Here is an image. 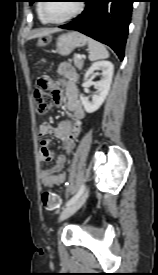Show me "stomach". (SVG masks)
<instances>
[{"instance_id":"stomach-1","label":"stomach","mask_w":158,"mask_h":275,"mask_svg":"<svg viewBox=\"0 0 158 275\" xmlns=\"http://www.w3.org/2000/svg\"><path fill=\"white\" fill-rule=\"evenodd\" d=\"M85 35L77 31H69L57 38L56 50L62 56L69 55L75 48L82 47L86 44Z\"/></svg>"}]
</instances>
